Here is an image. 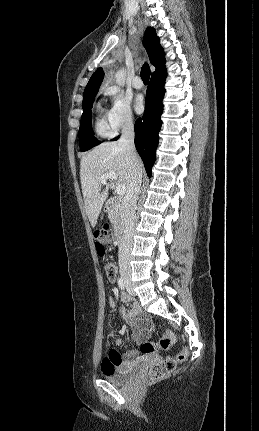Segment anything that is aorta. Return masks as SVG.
Segmentation results:
<instances>
[{"instance_id": "obj_1", "label": "aorta", "mask_w": 259, "mask_h": 431, "mask_svg": "<svg viewBox=\"0 0 259 431\" xmlns=\"http://www.w3.org/2000/svg\"><path fill=\"white\" fill-rule=\"evenodd\" d=\"M126 80V70L120 69L115 73V81L119 86H124Z\"/></svg>"}]
</instances>
